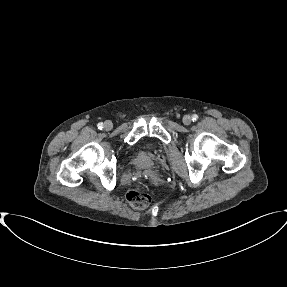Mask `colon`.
Masks as SVG:
<instances>
[{
  "label": "colon",
  "instance_id": "obj_1",
  "mask_svg": "<svg viewBox=\"0 0 287 287\" xmlns=\"http://www.w3.org/2000/svg\"><path fill=\"white\" fill-rule=\"evenodd\" d=\"M125 197L128 204L134 209H144L151 202L150 196L143 190L141 181H138L136 186L126 193Z\"/></svg>",
  "mask_w": 287,
  "mask_h": 287
}]
</instances>
